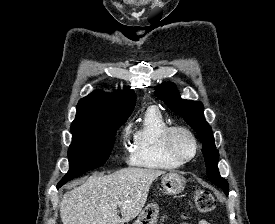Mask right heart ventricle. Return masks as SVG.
Returning <instances> with one entry per match:
<instances>
[{"label":"right heart ventricle","instance_id":"right-heart-ventricle-1","mask_svg":"<svg viewBox=\"0 0 275 224\" xmlns=\"http://www.w3.org/2000/svg\"><path fill=\"white\" fill-rule=\"evenodd\" d=\"M168 122L154 107L146 110L138 127L132 132L129 148V162L146 169L172 170L182 164L165 150L163 136Z\"/></svg>","mask_w":275,"mask_h":224}]
</instances>
